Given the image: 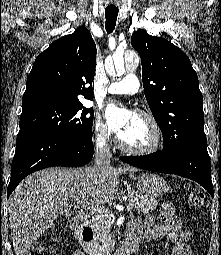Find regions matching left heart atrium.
Returning <instances> with one entry per match:
<instances>
[{
  "instance_id": "left-heart-atrium-1",
  "label": "left heart atrium",
  "mask_w": 221,
  "mask_h": 255,
  "mask_svg": "<svg viewBox=\"0 0 221 255\" xmlns=\"http://www.w3.org/2000/svg\"><path fill=\"white\" fill-rule=\"evenodd\" d=\"M132 112L125 107L110 104L105 109V119L108 129L120 135L129 125L132 119Z\"/></svg>"
}]
</instances>
